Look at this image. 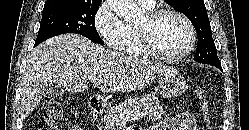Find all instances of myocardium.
Instances as JSON below:
<instances>
[{
  "instance_id": "obj_1",
  "label": "myocardium",
  "mask_w": 249,
  "mask_h": 130,
  "mask_svg": "<svg viewBox=\"0 0 249 130\" xmlns=\"http://www.w3.org/2000/svg\"><path fill=\"white\" fill-rule=\"evenodd\" d=\"M165 16H175L181 19L185 23L189 31V41L187 46L181 52L174 55H166L159 52L154 47L151 38V26ZM146 18L147 24L138 27V34L144 53L147 56L159 61L176 62L184 59L192 52L196 45L197 32L192 21L184 13L174 9H157L149 11Z\"/></svg>"
}]
</instances>
